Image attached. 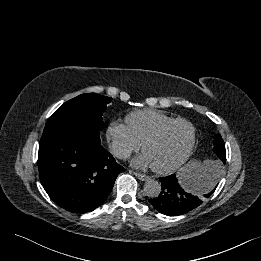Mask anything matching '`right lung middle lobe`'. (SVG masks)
I'll return each mask as SVG.
<instances>
[{"instance_id":"obj_1","label":"right lung middle lobe","mask_w":261,"mask_h":261,"mask_svg":"<svg viewBox=\"0 0 261 261\" xmlns=\"http://www.w3.org/2000/svg\"><path fill=\"white\" fill-rule=\"evenodd\" d=\"M111 101L110 97L93 93L82 94L69 100L48 119L43 135L76 127H94L101 130L102 114Z\"/></svg>"}]
</instances>
